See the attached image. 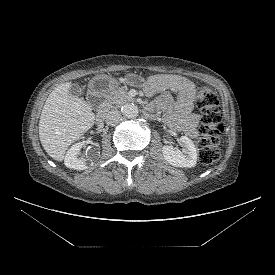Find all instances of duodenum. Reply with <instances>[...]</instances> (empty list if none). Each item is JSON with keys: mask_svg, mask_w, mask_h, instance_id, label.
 Listing matches in <instances>:
<instances>
[{"mask_svg": "<svg viewBox=\"0 0 275 275\" xmlns=\"http://www.w3.org/2000/svg\"><path fill=\"white\" fill-rule=\"evenodd\" d=\"M92 96L97 102H99V109L96 115V123L101 124L107 112V105L103 102L104 94L100 89H93Z\"/></svg>", "mask_w": 275, "mask_h": 275, "instance_id": "1", "label": "duodenum"}]
</instances>
